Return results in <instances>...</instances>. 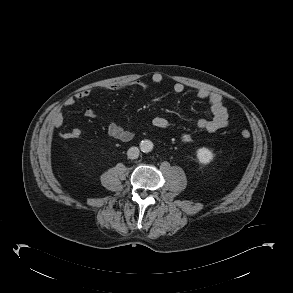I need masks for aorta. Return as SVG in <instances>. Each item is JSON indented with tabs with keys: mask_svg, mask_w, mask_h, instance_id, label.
<instances>
[{
	"mask_svg": "<svg viewBox=\"0 0 293 293\" xmlns=\"http://www.w3.org/2000/svg\"><path fill=\"white\" fill-rule=\"evenodd\" d=\"M140 149L144 153H148L153 149V143L150 140H142L140 142Z\"/></svg>",
	"mask_w": 293,
	"mask_h": 293,
	"instance_id": "762f6f07",
	"label": "aorta"
}]
</instances>
